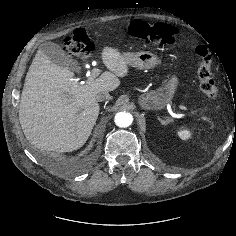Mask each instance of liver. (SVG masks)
I'll list each match as a JSON object with an SVG mask.
<instances>
[{
    "instance_id": "1",
    "label": "liver",
    "mask_w": 236,
    "mask_h": 236,
    "mask_svg": "<svg viewBox=\"0 0 236 236\" xmlns=\"http://www.w3.org/2000/svg\"><path fill=\"white\" fill-rule=\"evenodd\" d=\"M108 71L79 83L73 71L52 62L40 49L28 73L19 104L25 137L37 148L55 152L79 149L89 138L99 115V92L114 91L129 73L127 58L113 47L101 54Z\"/></svg>"
}]
</instances>
